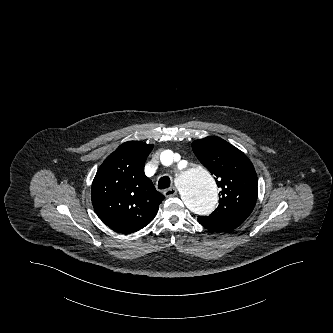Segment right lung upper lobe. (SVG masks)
Returning a JSON list of instances; mask_svg holds the SVG:
<instances>
[{"label": "right lung upper lobe", "mask_w": 333, "mask_h": 333, "mask_svg": "<svg viewBox=\"0 0 333 333\" xmlns=\"http://www.w3.org/2000/svg\"><path fill=\"white\" fill-rule=\"evenodd\" d=\"M152 144L130 141L120 145L98 169L91 198L98 217L108 227L136 232L155 217L164 196L144 173Z\"/></svg>", "instance_id": "1"}]
</instances>
